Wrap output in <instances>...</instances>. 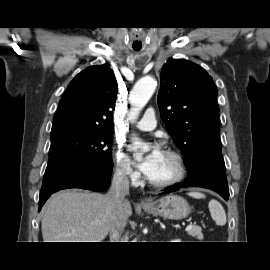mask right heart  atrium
Wrapping results in <instances>:
<instances>
[{
	"label": "right heart atrium",
	"instance_id": "1",
	"mask_svg": "<svg viewBox=\"0 0 270 270\" xmlns=\"http://www.w3.org/2000/svg\"><path fill=\"white\" fill-rule=\"evenodd\" d=\"M114 171L120 178L135 182L139 174L132 167L131 161L126 153L118 146L114 151Z\"/></svg>",
	"mask_w": 270,
	"mask_h": 270
}]
</instances>
